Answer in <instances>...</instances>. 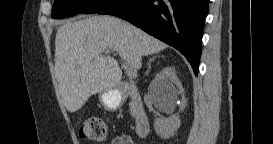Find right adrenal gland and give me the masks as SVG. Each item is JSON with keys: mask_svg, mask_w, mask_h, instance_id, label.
<instances>
[{"mask_svg": "<svg viewBox=\"0 0 273 144\" xmlns=\"http://www.w3.org/2000/svg\"><path fill=\"white\" fill-rule=\"evenodd\" d=\"M156 57H159V56H154V57H152V58L148 61V64H147L148 69H147V72H146L147 75L149 74L150 69H151V62H152ZM161 57H164V56H161Z\"/></svg>", "mask_w": 273, "mask_h": 144, "instance_id": "2a0ac1e0", "label": "right adrenal gland"}]
</instances>
